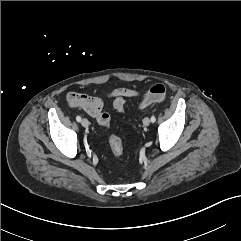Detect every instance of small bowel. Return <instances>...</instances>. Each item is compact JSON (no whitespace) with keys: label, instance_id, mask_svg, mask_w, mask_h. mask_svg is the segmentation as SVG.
<instances>
[{"label":"small bowel","instance_id":"small-bowel-1","mask_svg":"<svg viewBox=\"0 0 241 241\" xmlns=\"http://www.w3.org/2000/svg\"><path fill=\"white\" fill-rule=\"evenodd\" d=\"M121 95L123 97H138V91L130 88L117 89L111 93V96L116 97ZM67 103L73 108H79L85 111L88 115L93 118H97L98 115L103 112V101L95 96L69 92L67 94Z\"/></svg>","mask_w":241,"mask_h":241}]
</instances>
